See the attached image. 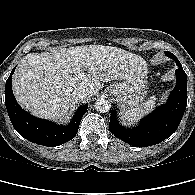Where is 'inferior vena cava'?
Here are the masks:
<instances>
[{
  "mask_svg": "<svg viewBox=\"0 0 195 195\" xmlns=\"http://www.w3.org/2000/svg\"><path fill=\"white\" fill-rule=\"evenodd\" d=\"M73 94L77 99H83L89 96V90L86 87H79L73 91Z\"/></svg>",
  "mask_w": 195,
  "mask_h": 195,
  "instance_id": "602c4592",
  "label": "inferior vena cava"
}]
</instances>
